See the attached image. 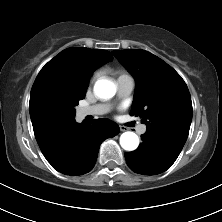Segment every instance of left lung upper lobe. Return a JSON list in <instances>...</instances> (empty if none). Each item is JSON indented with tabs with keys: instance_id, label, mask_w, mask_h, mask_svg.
<instances>
[{
	"instance_id": "1",
	"label": "left lung upper lobe",
	"mask_w": 222,
	"mask_h": 222,
	"mask_svg": "<svg viewBox=\"0 0 222 222\" xmlns=\"http://www.w3.org/2000/svg\"><path fill=\"white\" fill-rule=\"evenodd\" d=\"M112 53L136 80L130 114L141 116L147 130L165 132V128L178 125L188 135L192 102L187 85L179 74L163 60L144 50Z\"/></svg>"
}]
</instances>
